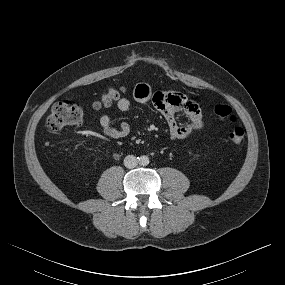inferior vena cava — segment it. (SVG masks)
I'll return each instance as SVG.
<instances>
[{
    "label": "inferior vena cava",
    "instance_id": "1",
    "mask_svg": "<svg viewBox=\"0 0 285 285\" xmlns=\"http://www.w3.org/2000/svg\"><path fill=\"white\" fill-rule=\"evenodd\" d=\"M124 165L129 169L135 168L138 165V160L135 156L128 155L124 159Z\"/></svg>",
    "mask_w": 285,
    "mask_h": 285
}]
</instances>
